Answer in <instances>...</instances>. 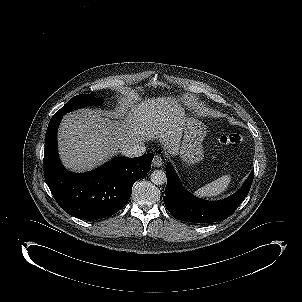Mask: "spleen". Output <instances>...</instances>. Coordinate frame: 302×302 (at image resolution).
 Instances as JSON below:
<instances>
[{
    "mask_svg": "<svg viewBox=\"0 0 302 302\" xmlns=\"http://www.w3.org/2000/svg\"><path fill=\"white\" fill-rule=\"evenodd\" d=\"M231 181L230 175H223L217 180L206 184L202 188L194 192V194L200 198H211L220 195L227 190Z\"/></svg>",
    "mask_w": 302,
    "mask_h": 302,
    "instance_id": "spleen-1",
    "label": "spleen"
}]
</instances>
